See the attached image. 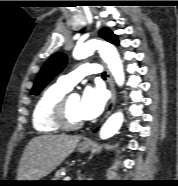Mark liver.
<instances>
[{"instance_id": "1", "label": "liver", "mask_w": 178, "mask_h": 186, "mask_svg": "<svg viewBox=\"0 0 178 186\" xmlns=\"http://www.w3.org/2000/svg\"><path fill=\"white\" fill-rule=\"evenodd\" d=\"M80 136L40 135L27 144L21 157L17 179L36 181L55 170L75 149Z\"/></svg>"}]
</instances>
